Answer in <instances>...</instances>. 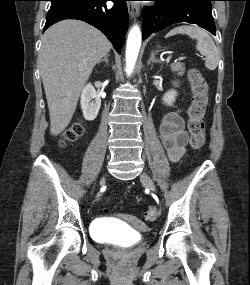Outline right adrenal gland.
I'll return each mask as SVG.
<instances>
[{"mask_svg": "<svg viewBox=\"0 0 250 285\" xmlns=\"http://www.w3.org/2000/svg\"><path fill=\"white\" fill-rule=\"evenodd\" d=\"M108 57H109V55L105 56L104 59H102V60H100V61L98 62V64H100V63H102V62L108 63V62H109Z\"/></svg>", "mask_w": 250, "mask_h": 285, "instance_id": "1", "label": "right adrenal gland"}]
</instances>
